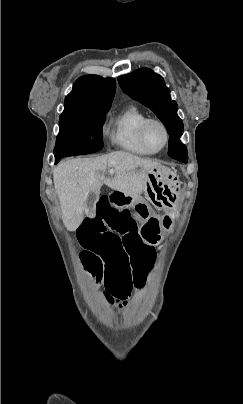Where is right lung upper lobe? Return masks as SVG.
<instances>
[{
	"label": "right lung upper lobe",
	"instance_id": "right-lung-upper-lobe-1",
	"mask_svg": "<svg viewBox=\"0 0 243 404\" xmlns=\"http://www.w3.org/2000/svg\"><path fill=\"white\" fill-rule=\"evenodd\" d=\"M116 89L112 78L98 75L82 76L76 80L73 90L66 96L64 111H95L111 106Z\"/></svg>",
	"mask_w": 243,
	"mask_h": 404
}]
</instances>
